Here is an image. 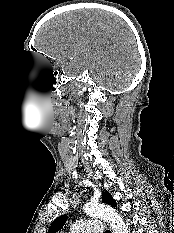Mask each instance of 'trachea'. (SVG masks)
Returning a JSON list of instances; mask_svg holds the SVG:
<instances>
[{"mask_svg": "<svg viewBox=\"0 0 174 233\" xmlns=\"http://www.w3.org/2000/svg\"><path fill=\"white\" fill-rule=\"evenodd\" d=\"M105 233H111V231H109V230H106V231H105Z\"/></svg>", "mask_w": 174, "mask_h": 233, "instance_id": "obj_1", "label": "trachea"}]
</instances>
